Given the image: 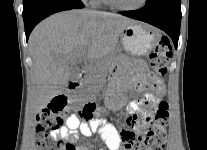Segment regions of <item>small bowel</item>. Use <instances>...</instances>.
Segmentation results:
<instances>
[{"instance_id": "1", "label": "small bowel", "mask_w": 207, "mask_h": 150, "mask_svg": "<svg viewBox=\"0 0 207 150\" xmlns=\"http://www.w3.org/2000/svg\"><path fill=\"white\" fill-rule=\"evenodd\" d=\"M139 69L142 74L137 77H116L113 80L107 94L109 107L118 109L126 104V98L121 92L127 87H132L138 92H144L150 88L153 94L151 96L149 94L146 95V97L149 95L150 99H160L164 96L165 88L162 81L160 80V87H151V77L156 76L148 75L146 67L143 64L139 65ZM142 105L143 103L141 102H132L128 105L130 115L127 118V124L131 130H140L143 126V123L139 121V113L144 121L149 120L152 116L153 111H145ZM95 132L98 133L108 150H122V134L113 125L101 119L82 122L76 114L70 115L63 126L50 132V136L52 138H60L61 140L74 141L78 133L84 137H90ZM73 149L89 150V147L83 143L74 146Z\"/></svg>"}]
</instances>
